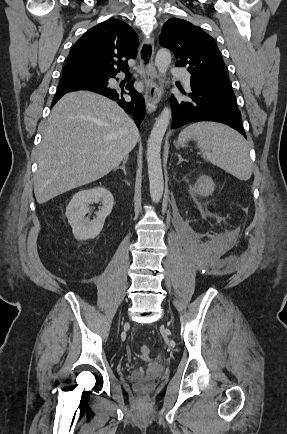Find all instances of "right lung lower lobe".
<instances>
[{"label":"right lung lower lobe","mask_w":287,"mask_h":434,"mask_svg":"<svg viewBox=\"0 0 287 434\" xmlns=\"http://www.w3.org/2000/svg\"><path fill=\"white\" fill-rule=\"evenodd\" d=\"M115 77V76H114ZM130 75L127 74V78ZM112 78V77H110ZM126 88L129 90V95L131 97V101H128L123 96V91H118L115 89H111L108 87V82L105 84H96V83H64L59 82L57 92L53 98L52 106L67 92L75 91V90H90L101 95H104L118 103L120 107H122L126 113L134 116V121L136 125L139 127L141 121L145 116V103L141 94H139L133 87V82L127 84ZM126 94V92H125Z\"/></svg>","instance_id":"1"}]
</instances>
